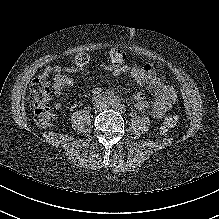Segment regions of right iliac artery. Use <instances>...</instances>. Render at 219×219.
<instances>
[{"label":"right iliac artery","instance_id":"right-iliac-artery-1","mask_svg":"<svg viewBox=\"0 0 219 219\" xmlns=\"http://www.w3.org/2000/svg\"><path fill=\"white\" fill-rule=\"evenodd\" d=\"M108 102L113 105L115 103L114 98H108Z\"/></svg>","mask_w":219,"mask_h":219}]
</instances>
